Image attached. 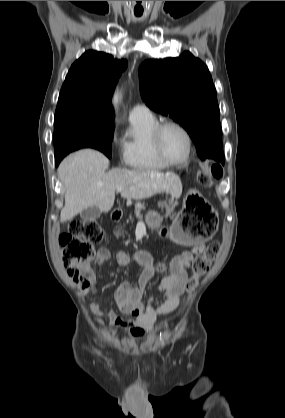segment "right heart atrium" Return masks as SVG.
I'll use <instances>...</instances> for the list:
<instances>
[{
    "label": "right heart atrium",
    "mask_w": 285,
    "mask_h": 418,
    "mask_svg": "<svg viewBox=\"0 0 285 418\" xmlns=\"http://www.w3.org/2000/svg\"><path fill=\"white\" fill-rule=\"evenodd\" d=\"M112 140H113V142H115V141H116L115 136H113V137H112ZM121 158H122V160L125 162L124 150H122V152H121Z\"/></svg>",
    "instance_id": "1"
}]
</instances>
